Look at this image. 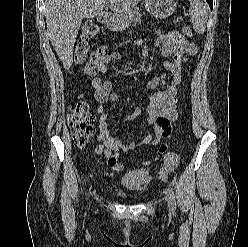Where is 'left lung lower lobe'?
<instances>
[{
  "label": "left lung lower lobe",
  "instance_id": "left-lung-lower-lobe-1",
  "mask_svg": "<svg viewBox=\"0 0 248 247\" xmlns=\"http://www.w3.org/2000/svg\"><path fill=\"white\" fill-rule=\"evenodd\" d=\"M206 1L208 2L210 9H212L213 1L212 0H206Z\"/></svg>",
  "mask_w": 248,
  "mask_h": 247
}]
</instances>
